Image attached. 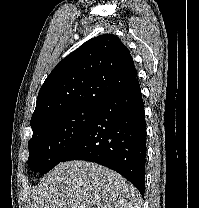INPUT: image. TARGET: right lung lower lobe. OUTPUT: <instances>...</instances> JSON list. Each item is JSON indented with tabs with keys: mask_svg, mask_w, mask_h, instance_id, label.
I'll return each mask as SVG.
<instances>
[{
	"mask_svg": "<svg viewBox=\"0 0 199 208\" xmlns=\"http://www.w3.org/2000/svg\"><path fill=\"white\" fill-rule=\"evenodd\" d=\"M146 122L138 80L98 105L76 145L61 162L86 160L120 173L144 197Z\"/></svg>",
	"mask_w": 199,
	"mask_h": 208,
	"instance_id": "98d812e1",
	"label": "right lung lower lobe"
}]
</instances>
